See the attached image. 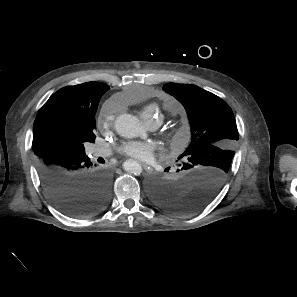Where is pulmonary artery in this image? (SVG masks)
<instances>
[{
	"mask_svg": "<svg viewBox=\"0 0 297 297\" xmlns=\"http://www.w3.org/2000/svg\"><path fill=\"white\" fill-rule=\"evenodd\" d=\"M150 127H155L156 126V123H153V122H150L148 123ZM93 153L98 155V156H107L110 154V152L104 148H100V147H94L92 149Z\"/></svg>",
	"mask_w": 297,
	"mask_h": 297,
	"instance_id": "pulmonary-artery-1",
	"label": "pulmonary artery"
}]
</instances>
